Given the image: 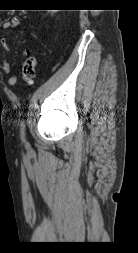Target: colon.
<instances>
[{"mask_svg": "<svg viewBox=\"0 0 138 253\" xmlns=\"http://www.w3.org/2000/svg\"><path fill=\"white\" fill-rule=\"evenodd\" d=\"M37 58L30 52L26 53V60L22 68V79L23 81L31 85L36 76Z\"/></svg>", "mask_w": 138, "mask_h": 253, "instance_id": "5ec220e1", "label": "colon"}]
</instances>
